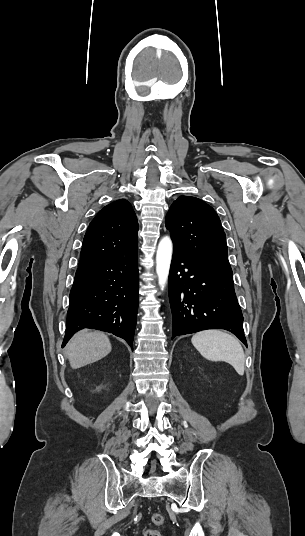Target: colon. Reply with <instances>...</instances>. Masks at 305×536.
Wrapping results in <instances>:
<instances>
[{
  "instance_id": "obj_1",
  "label": "colon",
  "mask_w": 305,
  "mask_h": 536,
  "mask_svg": "<svg viewBox=\"0 0 305 536\" xmlns=\"http://www.w3.org/2000/svg\"><path fill=\"white\" fill-rule=\"evenodd\" d=\"M164 516L159 513H152L151 514V522L154 525H162L164 523ZM143 536H161L160 533L157 530L148 529L145 531Z\"/></svg>"
}]
</instances>
